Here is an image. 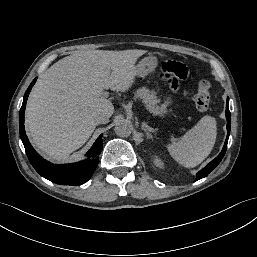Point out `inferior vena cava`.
I'll return each instance as SVG.
<instances>
[{"label":"inferior vena cava","mask_w":257,"mask_h":257,"mask_svg":"<svg viewBox=\"0 0 257 257\" xmlns=\"http://www.w3.org/2000/svg\"><path fill=\"white\" fill-rule=\"evenodd\" d=\"M110 115L109 114H99L96 117V123L97 124H104L109 121Z\"/></svg>","instance_id":"inferior-vena-cava-1"}]
</instances>
